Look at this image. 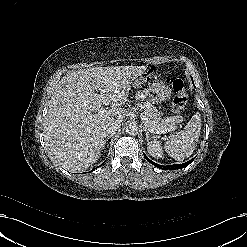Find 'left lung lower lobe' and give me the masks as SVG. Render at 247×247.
Returning a JSON list of instances; mask_svg holds the SVG:
<instances>
[{
  "mask_svg": "<svg viewBox=\"0 0 247 247\" xmlns=\"http://www.w3.org/2000/svg\"><path fill=\"white\" fill-rule=\"evenodd\" d=\"M144 157L147 159L148 162H150L151 164H153L157 168H159V169H165V170L180 169V168L186 167V166H188L194 160V158H193L190 161H188L186 163H183V164H175V165L162 166V165H159V164L154 163L153 161H151L145 154H144Z\"/></svg>",
  "mask_w": 247,
  "mask_h": 247,
  "instance_id": "left-lung-lower-lobe-1",
  "label": "left lung lower lobe"
}]
</instances>
